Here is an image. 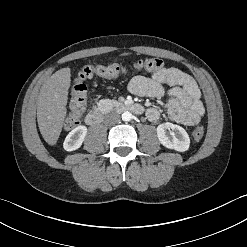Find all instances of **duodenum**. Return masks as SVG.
Segmentation results:
<instances>
[{
    "label": "duodenum",
    "mask_w": 247,
    "mask_h": 247,
    "mask_svg": "<svg viewBox=\"0 0 247 247\" xmlns=\"http://www.w3.org/2000/svg\"><path fill=\"white\" fill-rule=\"evenodd\" d=\"M118 109L121 111H130L135 114H141L143 112V107L137 103H124L118 106ZM103 118V113L101 110H93L88 113L85 117V122L88 125H98Z\"/></svg>",
    "instance_id": "1"
}]
</instances>
